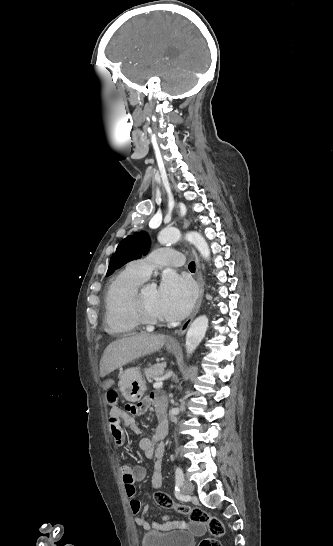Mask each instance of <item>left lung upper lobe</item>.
Masks as SVG:
<instances>
[{"instance_id": "obj_1", "label": "left lung upper lobe", "mask_w": 333, "mask_h": 546, "mask_svg": "<svg viewBox=\"0 0 333 546\" xmlns=\"http://www.w3.org/2000/svg\"><path fill=\"white\" fill-rule=\"evenodd\" d=\"M151 242L146 232L135 233L123 239L111 256L107 275L129 261L139 259L149 251Z\"/></svg>"}]
</instances>
